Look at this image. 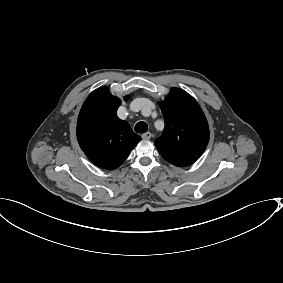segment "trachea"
Here are the masks:
<instances>
[{
	"instance_id": "1",
	"label": "trachea",
	"mask_w": 283,
	"mask_h": 283,
	"mask_svg": "<svg viewBox=\"0 0 283 283\" xmlns=\"http://www.w3.org/2000/svg\"><path fill=\"white\" fill-rule=\"evenodd\" d=\"M148 130V125L146 122H138L136 125H135V131L137 133H145L147 132Z\"/></svg>"
}]
</instances>
